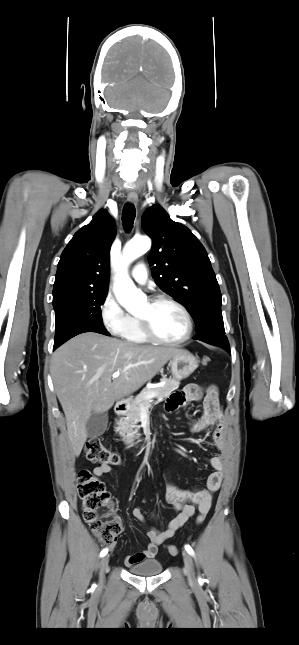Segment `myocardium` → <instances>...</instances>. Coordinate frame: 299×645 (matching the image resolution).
Returning <instances> with one entry per match:
<instances>
[{"label": "myocardium", "mask_w": 299, "mask_h": 645, "mask_svg": "<svg viewBox=\"0 0 299 645\" xmlns=\"http://www.w3.org/2000/svg\"><path fill=\"white\" fill-rule=\"evenodd\" d=\"M148 302L151 306H154L160 303L171 304L175 306L183 314L186 321V331L183 334V336H181L178 339L168 340V339H163L159 337L153 331L150 320L147 316L138 315L137 319H138L141 331L149 341L157 344H162V345H179L186 342L192 336L193 329H194L193 319L188 309L181 302L167 295L154 296L151 299H149Z\"/></svg>", "instance_id": "myocardium-1"}]
</instances>
